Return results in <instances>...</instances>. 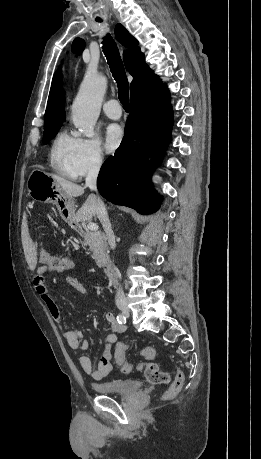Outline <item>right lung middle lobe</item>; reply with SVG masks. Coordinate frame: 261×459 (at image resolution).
Segmentation results:
<instances>
[{
    "instance_id": "right-lung-middle-lobe-1",
    "label": "right lung middle lobe",
    "mask_w": 261,
    "mask_h": 459,
    "mask_svg": "<svg viewBox=\"0 0 261 459\" xmlns=\"http://www.w3.org/2000/svg\"><path fill=\"white\" fill-rule=\"evenodd\" d=\"M61 126L62 123L45 125L43 133V143L47 144L56 135L57 131L60 129Z\"/></svg>"
}]
</instances>
